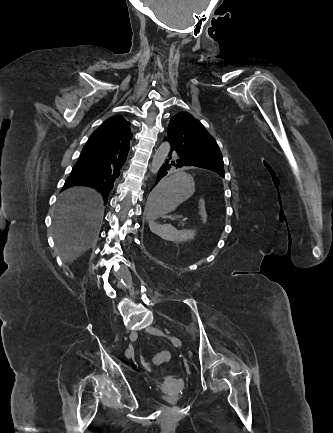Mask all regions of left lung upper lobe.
Returning <instances> with one entry per match:
<instances>
[{"mask_svg":"<svg viewBox=\"0 0 333 433\" xmlns=\"http://www.w3.org/2000/svg\"><path fill=\"white\" fill-rule=\"evenodd\" d=\"M166 140L181 161L225 177L223 158L216 141L191 114L180 112L170 119Z\"/></svg>","mask_w":333,"mask_h":433,"instance_id":"obj_1","label":"left lung upper lobe"}]
</instances>
